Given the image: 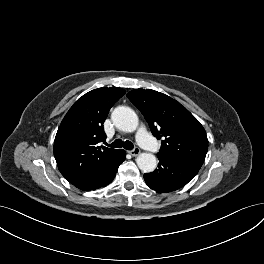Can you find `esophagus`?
<instances>
[{
	"mask_svg": "<svg viewBox=\"0 0 264 264\" xmlns=\"http://www.w3.org/2000/svg\"><path fill=\"white\" fill-rule=\"evenodd\" d=\"M132 156H138L140 154V149L138 147L134 148L133 150L129 151Z\"/></svg>",
	"mask_w": 264,
	"mask_h": 264,
	"instance_id": "obj_1",
	"label": "esophagus"
}]
</instances>
